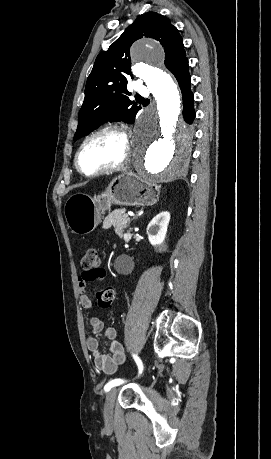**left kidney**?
<instances>
[{
  "label": "left kidney",
  "instance_id": "obj_1",
  "mask_svg": "<svg viewBox=\"0 0 271 459\" xmlns=\"http://www.w3.org/2000/svg\"><path fill=\"white\" fill-rule=\"evenodd\" d=\"M170 222L169 212H160L157 214L147 226V235L150 243L158 247V249H163V241L166 237L168 224Z\"/></svg>",
  "mask_w": 271,
  "mask_h": 459
}]
</instances>
